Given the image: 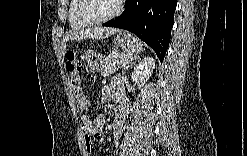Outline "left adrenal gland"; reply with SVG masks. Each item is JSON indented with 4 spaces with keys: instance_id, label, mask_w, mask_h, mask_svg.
Segmentation results:
<instances>
[{
    "instance_id": "1",
    "label": "left adrenal gland",
    "mask_w": 247,
    "mask_h": 156,
    "mask_svg": "<svg viewBox=\"0 0 247 156\" xmlns=\"http://www.w3.org/2000/svg\"><path fill=\"white\" fill-rule=\"evenodd\" d=\"M133 64H134V63H131V64L127 65V66L124 68L123 73H125V71H126L127 69H129Z\"/></svg>"
}]
</instances>
